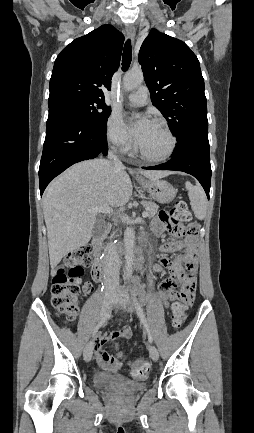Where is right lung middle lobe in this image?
<instances>
[{"instance_id": "1", "label": "right lung middle lobe", "mask_w": 254, "mask_h": 433, "mask_svg": "<svg viewBox=\"0 0 254 433\" xmlns=\"http://www.w3.org/2000/svg\"><path fill=\"white\" fill-rule=\"evenodd\" d=\"M50 110H64L99 126H106L111 109L100 99L71 98L48 105Z\"/></svg>"}]
</instances>
